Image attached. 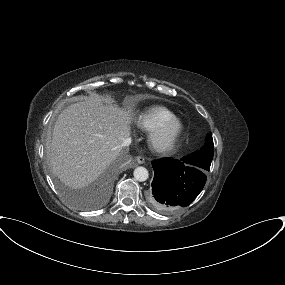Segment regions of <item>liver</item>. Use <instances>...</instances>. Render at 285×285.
I'll list each match as a JSON object with an SVG mask.
<instances>
[{"mask_svg":"<svg viewBox=\"0 0 285 285\" xmlns=\"http://www.w3.org/2000/svg\"><path fill=\"white\" fill-rule=\"evenodd\" d=\"M133 120L131 108H120L110 99L71 104L58 116L48 148L53 173L73 188L92 183L121 152Z\"/></svg>","mask_w":285,"mask_h":285,"instance_id":"1","label":"liver"}]
</instances>
